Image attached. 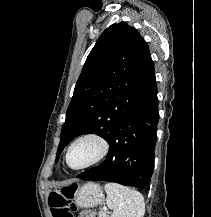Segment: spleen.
<instances>
[{
	"label": "spleen",
	"mask_w": 211,
	"mask_h": 217,
	"mask_svg": "<svg viewBox=\"0 0 211 217\" xmlns=\"http://www.w3.org/2000/svg\"><path fill=\"white\" fill-rule=\"evenodd\" d=\"M107 206L113 211L111 217H143L145 202L142 194L117 183L105 185Z\"/></svg>",
	"instance_id": "1"
}]
</instances>
